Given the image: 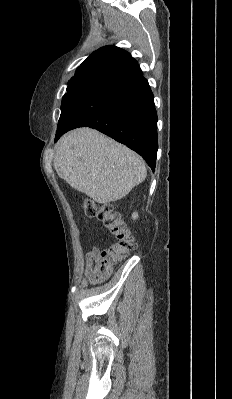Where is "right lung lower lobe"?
<instances>
[{
  "label": "right lung lower lobe",
  "mask_w": 232,
  "mask_h": 399,
  "mask_svg": "<svg viewBox=\"0 0 232 399\" xmlns=\"http://www.w3.org/2000/svg\"><path fill=\"white\" fill-rule=\"evenodd\" d=\"M84 126L136 151L154 171L157 113L139 65L99 82L61 107L55 141L67 131Z\"/></svg>",
  "instance_id": "right-lung-lower-lobe-1"
}]
</instances>
